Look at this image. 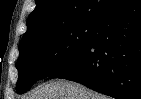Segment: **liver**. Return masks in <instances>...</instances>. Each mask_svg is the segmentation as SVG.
<instances>
[{
  "mask_svg": "<svg viewBox=\"0 0 141 99\" xmlns=\"http://www.w3.org/2000/svg\"><path fill=\"white\" fill-rule=\"evenodd\" d=\"M27 99H110L82 84L68 80H52L35 88Z\"/></svg>",
  "mask_w": 141,
  "mask_h": 99,
  "instance_id": "obj_1",
  "label": "liver"
}]
</instances>
